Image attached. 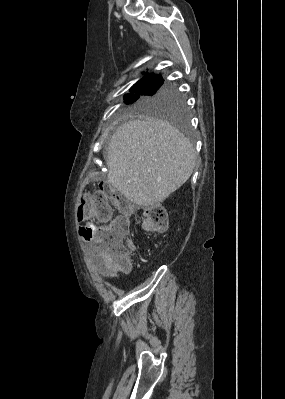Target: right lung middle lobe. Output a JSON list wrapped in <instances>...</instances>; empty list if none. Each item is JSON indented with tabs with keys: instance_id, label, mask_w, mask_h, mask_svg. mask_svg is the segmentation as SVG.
Returning a JSON list of instances; mask_svg holds the SVG:
<instances>
[{
	"instance_id": "1",
	"label": "right lung middle lobe",
	"mask_w": 285,
	"mask_h": 399,
	"mask_svg": "<svg viewBox=\"0 0 285 399\" xmlns=\"http://www.w3.org/2000/svg\"><path fill=\"white\" fill-rule=\"evenodd\" d=\"M135 93L125 95V103H134V110L165 117L181 126L184 124L186 119L185 101L173 85L165 84Z\"/></svg>"
}]
</instances>
